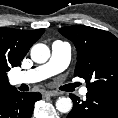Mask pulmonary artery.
<instances>
[{
	"label": "pulmonary artery",
	"instance_id": "1",
	"mask_svg": "<svg viewBox=\"0 0 118 118\" xmlns=\"http://www.w3.org/2000/svg\"><path fill=\"white\" fill-rule=\"evenodd\" d=\"M70 59V44L57 40L51 46V56L47 63L28 71L13 73L10 76V82L13 85H21L42 81L65 70L70 63ZM87 92L86 87L81 88L79 91L81 96H85Z\"/></svg>",
	"mask_w": 118,
	"mask_h": 118
}]
</instances>
